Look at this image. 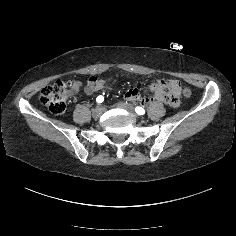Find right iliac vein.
<instances>
[{
    "instance_id": "1",
    "label": "right iliac vein",
    "mask_w": 236,
    "mask_h": 236,
    "mask_svg": "<svg viewBox=\"0 0 236 236\" xmlns=\"http://www.w3.org/2000/svg\"><path fill=\"white\" fill-rule=\"evenodd\" d=\"M102 114H103V108L101 106H98L92 112V116L95 119H98L99 117H101Z\"/></svg>"
}]
</instances>
